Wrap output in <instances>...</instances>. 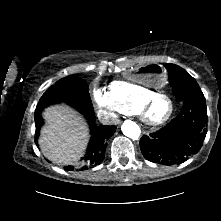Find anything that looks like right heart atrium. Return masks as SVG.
Wrapping results in <instances>:
<instances>
[{
	"instance_id": "1",
	"label": "right heart atrium",
	"mask_w": 221,
	"mask_h": 221,
	"mask_svg": "<svg viewBox=\"0 0 221 221\" xmlns=\"http://www.w3.org/2000/svg\"><path fill=\"white\" fill-rule=\"evenodd\" d=\"M92 95L102 115L111 119H116L124 113L123 109L114 101L107 90L95 86L92 90Z\"/></svg>"
}]
</instances>
